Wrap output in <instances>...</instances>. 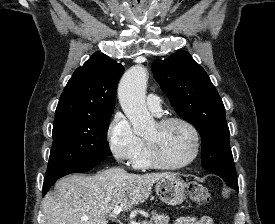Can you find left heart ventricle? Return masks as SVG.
I'll return each mask as SVG.
<instances>
[{
    "label": "left heart ventricle",
    "instance_id": "b2bd125f",
    "mask_svg": "<svg viewBox=\"0 0 275 224\" xmlns=\"http://www.w3.org/2000/svg\"><path fill=\"white\" fill-rule=\"evenodd\" d=\"M144 137L152 143L160 157L170 164L183 163L193 153L192 133L178 122L164 127H159L155 123Z\"/></svg>",
    "mask_w": 275,
    "mask_h": 224
}]
</instances>
